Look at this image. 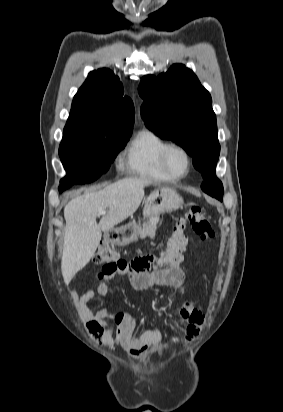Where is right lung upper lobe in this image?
I'll list each match as a JSON object with an SVG mask.
<instances>
[{"mask_svg":"<svg viewBox=\"0 0 283 412\" xmlns=\"http://www.w3.org/2000/svg\"><path fill=\"white\" fill-rule=\"evenodd\" d=\"M135 110L123 85L108 69L89 73L74 96L67 122L94 135L131 133Z\"/></svg>","mask_w":283,"mask_h":412,"instance_id":"right-lung-upper-lobe-1","label":"right lung upper lobe"}]
</instances>
